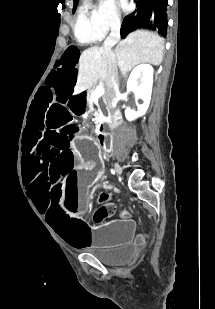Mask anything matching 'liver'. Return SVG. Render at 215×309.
Here are the masks:
<instances>
[{"mask_svg": "<svg viewBox=\"0 0 215 309\" xmlns=\"http://www.w3.org/2000/svg\"><path fill=\"white\" fill-rule=\"evenodd\" d=\"M165 38L151 30H134L120 40L114 48L121 72L132 70L136 64L150 62L161 64ZM107 74L106 54L99 46H90L81 52L77 82L73 94L91 88L97 80H105Z\"/></svg>", "mask_w": 215, "mask_h": 309, "instance_id": "liver-1", "label": "liver"}]
</instances>
